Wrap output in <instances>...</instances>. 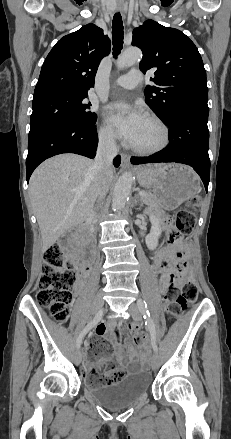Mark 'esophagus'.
Returning <instances> with one entry per match:
<instances>
[{
	"label": "esophagus",
	"mask_w": 231,
	"mask_h": 439,
	"mask_svg": "<svg viewBox=\"0 0 231 439\" xmlns=\"http://www.w3.org/2000/svg\"><path fill=\"white\" fill-rule=\"evenodd\" d=\"M121 7L118 8L119 11H121ZM130 166V156L127 154L121 155V167L122 168H128Z\"/></svg>",
	"instance_id": "34e87169"
}]
</instances>
